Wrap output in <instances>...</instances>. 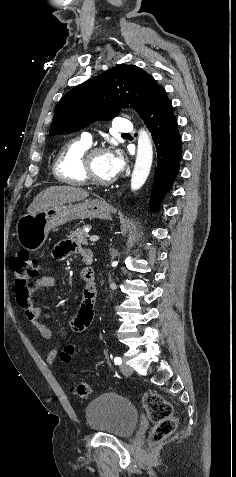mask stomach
<instances>
[{
	"instance_id": "0dacf381",
	"label": "stomach",
	"mask_w": 236,
	"mask_h": 477,
	"mask_svg": "<svg viewBox=\"0 0 236 477\" xmlns=\"http://www.w3.org/2000/svg\"><path fill=\"white\" fill-rule=\"evenodd\" d=\"M114 208L103 199L67 203L36 214L22 216L16 225L20 245L28 251H37L47 240L51 229L75 219H111Z\"/></svg>"
}]
</instances>
